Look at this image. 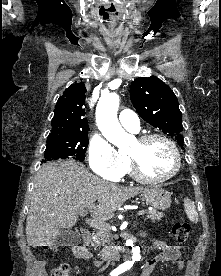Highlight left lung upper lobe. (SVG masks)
Segmentation results:
<instances>
[{
	"mask_svg": "<svg viewBox=\"0 0 221 276\" xmlns=\"http://www.w3.org/2000/svg\"><path fill=\"white\" fill-rule=\"evenodd\" d=\"M130 98L143 120L174 136L183 147L182 114L177 97L168 85L155 76L136 78L130 86Z\"/></svg>",
	"mask_w": 221,
	"mask_h": 276,
	"instance_id": "1",
	"label": "left lung upper lobe"
}]
</instances>
